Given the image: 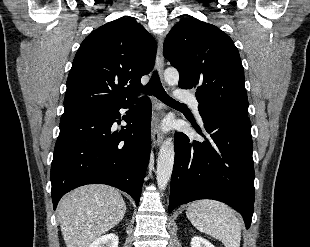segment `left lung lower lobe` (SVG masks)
<instances>
[{
	"mask_svg": "<svg viewBox=\"0 0 310 247\" xmlns=\"http://www.w3.org/2000/svg\"><path fill=\"white\" fill-rule=\"evenodd\" d=\"M201 117L210 134L206 141H192L180 132L174 136L169 212L194 200L214 199L241 213L249 228L254 211L250 119L227 112Z\"/></svg>",
	"mask_w": 310,
	"mask_h": 247,
	"instance_id": "obj_1",
	"label": "left lung lower lobe"
}]
</instances>
